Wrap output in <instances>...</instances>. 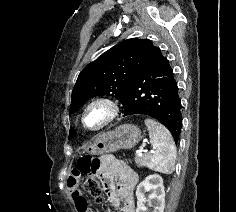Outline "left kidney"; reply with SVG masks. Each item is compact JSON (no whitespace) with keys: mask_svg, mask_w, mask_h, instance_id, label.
<instances>
[{"mask_svg":"<svg viewBox=\"0 0 236 212\" xmlns=\"http://www.w3.org/2000/svg\"><path fill=\"white\" fill-rule=\"evenodd\" d=\"M145 193H149L148 199H146ZM136 196V212H145L146 202H148V205L153 208V212H163L165 207V190L162 177L157 174L146 177L137 186Z\"/></svg>","mask_w":236,"mask_h":212,"instance_id":"5707ae66","label":"left kidney"}]
</instances>
